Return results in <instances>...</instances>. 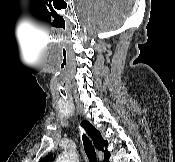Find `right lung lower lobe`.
Here are the masks:
<instances>
[{"label": "right lung lower lobe", "mask_w": 175, "mask_h": 162, "mask_svg": "<svg viewBox=\"0 0 175 162\" xmlns=\"http://www.w3.org/2000/svg\"><path fill=\"white\" fill-rule=\"evenodd\" d=\"M104 162H109V157L106 160H104Z\"/></svg>", "instance_id": "98d812e1"}]
</instances>
